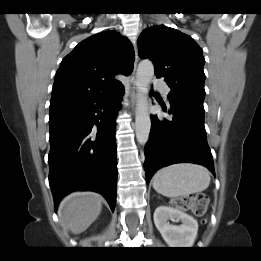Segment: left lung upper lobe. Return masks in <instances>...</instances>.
<instances>
[{"mask_svg":"<svg viewBox=\"0 0 261 261\" xmlns=\"http://www.w3.org/2000/svg\"><path fill=\"white\" fill-rule=\"evenodd\" d=\"M138 46L140 57L149 58L156 77L170 87L169 100L183 97L203 105L205 59L192 37L165 25L153 26L141 33Z\"/></svg>","mask_w":261,"mask_h":261,"instance_id":"obj_1","label":"left lung upper lobe"}]
</instances>
